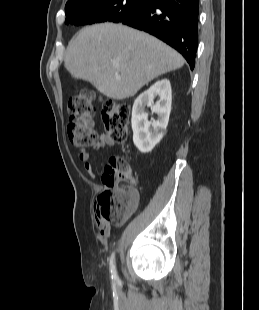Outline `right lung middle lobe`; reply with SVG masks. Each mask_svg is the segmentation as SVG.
Segmentation results:
<instances>
[{
  "mask_svg": "<svg viewBox=\"0 0 259 310\" xmlns=\"http://www.w3.org/2000/svg\"><path fill=\"white\" fill-rule=\"evenodd\" d=\"M148 0H101L92 4L65 8V23L85 25L100 22H120L143 8Z\"/></svg>",
  "mask_w": 259,
  "mask_h": 310,
  "instance_id": "right-lung-middle-lobe-1",
  "label": "right lung middle lobe"
}]
</instances>
